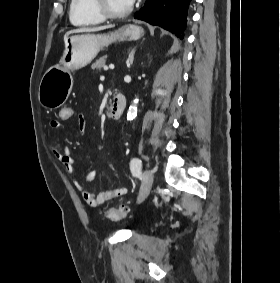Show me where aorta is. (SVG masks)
I'll return each mask as SVG.
<instances>
[{"mask_svg":"<svg viewBox=\"0 0 280 283\" xmlns=\"http://www.w3.org/2000/svg\"><path fill=\"white\" fill-rule=\"evenodd\" d=\"M137 104H138V98H135L133 100V103L129 107L128 113H127V120H133L137 115Z\"/></svg>","mask_w":280,"mask_h":283,"instance_id":"aorta-1","label":"aorta"}]
</instances>
